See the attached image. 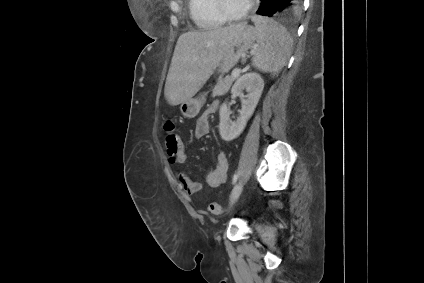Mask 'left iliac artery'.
Segmentation results:
<instances>
[{
  "label": "left iliac artery",
  "mask_w": 424,
  "mask_h": 283,
  "mask_svg": "<svg viewBox=\"0 0 424 283\" xmlns=\"http://www.w3.org/2000/svg\"><path fill=\"white\" fill-rule=\"evenodd\" d=\"M238 179V173L236 172L233 176L232 183L235 184Z\"/></svg>",
  "instance_id": "44dca946"
}]
</instances>
